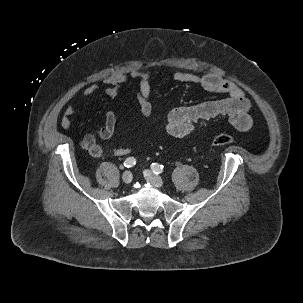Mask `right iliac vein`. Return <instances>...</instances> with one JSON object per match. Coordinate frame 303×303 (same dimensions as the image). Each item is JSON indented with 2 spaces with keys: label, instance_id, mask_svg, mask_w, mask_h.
<instances>
[{
  "label": "right iliac vein",
  "instance_id": "63e3f726",
  "mask_svg": "<svg viewBox=\"0 0 303 303\" xmlns=\"http://www.w3.org/2000/svg\"><path fill=\"white\" fill-rule=\"evenodd\" d=\"M132 173L130 171H125L122 175V180L124 183L129 184L132 181Z\"/></svg>",
  "mask_w": 303,
  "mask_h": 303
}]
</instances>
